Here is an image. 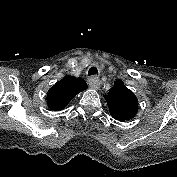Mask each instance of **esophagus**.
I'll list each match as a JSON object with an SVG mask.
<instances>
[{"instance_id":"1","label":"esophagus","mask_w":177,"mask_h":177,"mask_svg":"<svg viewBox=\"0 0 177 177\" xmlns=\"http://www.w3.org/2000/svg\"><path fill=\"white\" fill-rule=\"evenodd\" d=\"M88 84L94 90H98L100 88V80L98 79V77H90L88 79Z\"/></svg>"}]
</instances>
